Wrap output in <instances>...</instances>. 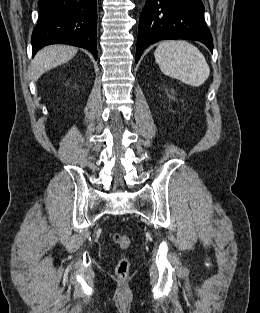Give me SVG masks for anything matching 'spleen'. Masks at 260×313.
I'll use <instances>...</instances> for the list:
<instances>
[{
  "label": "spleen",
  "instance_id": "obj_1",
  "mask_svg": "<svg viewBox=\"0 0 260 313\" xmlns=\"http://www.w3.org/2000/svg\"><path fill=\"white\" fill-rule=\"evenodd\" d=\"M161 71L192 87L202 85L210 74L209 65L197 47L184 40L160 43L154 52Z\"/></svg>",
  "mask_w": 260,
  "mask_h": 313
}]
</instances>
